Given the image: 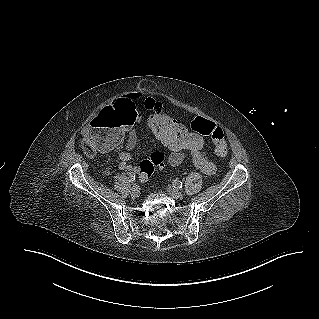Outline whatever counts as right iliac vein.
Listing matches in <instances>:
<instances>
[{
    "label": "right iliac vein",
    "instance_id": "63e3f726",
    "mask_svg": "<svg viewBox=\"0 0 319 319\" xmlns=\"http://www.w3.org/2000/svg\"><path fill=\"white\" fill-rule=\"evenodd\" d=\"M140 195V189H139V187L137 186V185H134L133 187H132V189H131V196L133 197V198H136V197H138Z\"/></svg>",
    "mask_w": 319,
    "mask_h": 319
}]
</instances>
